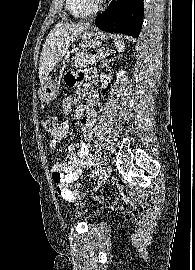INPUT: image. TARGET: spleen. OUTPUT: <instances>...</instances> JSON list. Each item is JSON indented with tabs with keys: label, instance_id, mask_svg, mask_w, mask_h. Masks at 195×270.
I'll list each match as a JSON object with an SVG mask.
<instances>
[{
	"label": "spleen",
	"instance_id": "3e777b00",
	"mask_svg": "<svg viewBox=\"0 0 195 270\" xmlns=\"http://www.w3.org/2000/svg\"><path fill=\"white\" fill-rule=\"evenodd\" d=\"M114 44H115V47L119 50V51H124V49H125V44L122 42V41H120L119 39H115L114 40Z\"/></svg>",
	"mask_w": 195,
	"mask_h": 270
}]
</instances>
